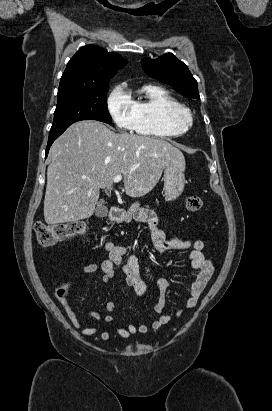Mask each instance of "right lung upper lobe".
Here are the masks:
<instances>
[{
  "instance_id": "1",
  "label": "right lung upper lobe",
  "mask_w": 272,
  "mask_h": 411,
  "mask_svg": "<svg viewBox=\"0 0 272 411\" xmlns=\"http://www.w3.org/2000/svg\"><path fill=\"white\" fill-rule=\"evenodd\" d=\"M126 64L127 60L117 53L107 52L95 45L84 46L68 62L58 92L108 84L116 70Z\"/></svg>"
}]
</instances>
